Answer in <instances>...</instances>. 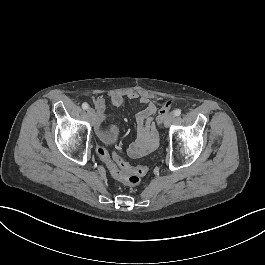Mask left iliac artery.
Segmentation results:
<instances>
[{
  "label": "left iliac artery",
  "mask_w": 265,
  "mask_h": 265,
  "mask_svg": "<svg viewBox=\"0 0 265 265\" xmlns=\"http://www.w3.org/2000/svg\"><path fill=\"white\" fill-rule=\"evenodd\" d=\"M174 114H175V116H180L181 115V110L180 109L174 110Z\"/></svg>",
  "instance_id": "left-iliac-artery-1"
}]
</instances>
